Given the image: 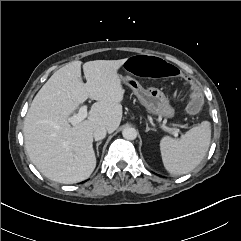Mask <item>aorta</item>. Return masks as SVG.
I'll list each match as a JSON object with an SVG mask.
<instances>
[{
	"label": "aorta",
	"mask_w": 241,
	"mask_h": 241,
	"mask_svg": "<svg viewBox=\"0 0 241 241\" xmlns=\"http://www.w3.org/2000/svg\"><path fill=\"white\" fill-rule=\"evenodd\" d=\"M122 135L126 140H135L137 137V131L133 127H126L123 129Z\"/></svg>",
	"instance_id": "762f6f07"
}]
</instances>
